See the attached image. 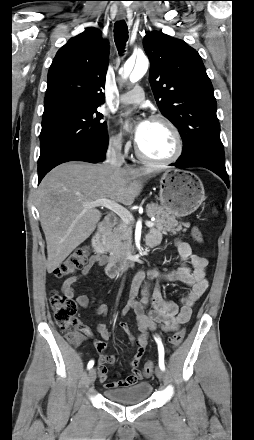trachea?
<instances>
[{"instance_id":"3493384b","label":"trachea","mask_w":254,"mask_h":440,"mask_svg":"<svg viewBox=\"0 0 254 440\" xmlns=\"http://www.w3.org/2000/svg\"><path fill=\"white\" fill-rule=\"evenodd\" d=\"M114 40L119 53L122 54L128 40V27L124 21H118L115 23Z\"/></svg>"}]
</instances>
